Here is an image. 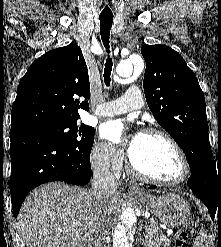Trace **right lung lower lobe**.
Masks as SVG:
<instances>
[{"mask_svg":"<svg viewBox=\"0 0 221 247\" xmlns=\"http://www.w3.org/2000/svg\"><path fill=\"white\" fill-rule=\"evenodd\" d=\"M10 193L13 216L33 188L51 181L79 186L91 178L90 155L70 149L56 140L25 130L10 131Z\"/></svg>","mask_w":221,"mask_h":247,"instance_id":"obj_1","label":"right lung lower lobe"}]
</instances>
